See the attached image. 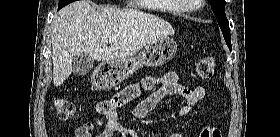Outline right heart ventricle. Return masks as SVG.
I'll return each instance as SVG.
<instances>
[{
	"label": "right heart ventricle",
	"mask_w": 280,
	"mask_h": 137,
	"mask_svg": "<svg viewBox=\"0 0 280 137\" xmlns=\"http://www.w3.org/2000/svg\"><path fill=\"white\" fill-rule=\"evenodd\" d=\"M162 1H170V0H162ZM164 9L166 10V13L170 15H180L185 12V9L178 4L165 5Z\"/></svg>",
	"instance_id": "1"
}]
</instances>
